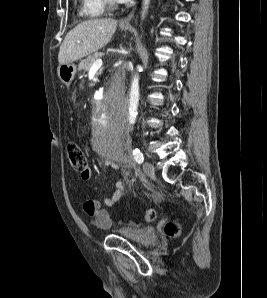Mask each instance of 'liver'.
Wrapping results in <instances>:
<instances>
[{
  "label": "liver",
  "instance_id": "6515ba94",
  "mask_svg": "<svg viewBox=\"0 0 267 298\" xmlns=\"http://www.w3.org/2000/svg\"><path fill=\"white\" fill-rule=\"evenodd\" d=\"M117 28L115 19H90L67 33L60 46L59 64L81 59L109 43ZM80 41V42H78Z\"/></svg>",
  "mask_w": 267,
  "mask_h": 298
}]
</instances>
